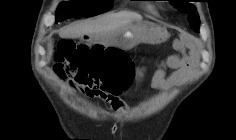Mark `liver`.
<instances>
[{"label":"liver","instance_id":"obj_1","mask_svg":"<svg viewBox=\"0 0 236 140\" xmlns=\"http://www.w3.org/2000/svg\"><path fill=\"white\" fill-rule=\"evenodd\" d=\"M139 14L131 12L110 13L98 17L95 20H86L73 23L59 30L61 38H79L84 35L93 37L95 40L106 39L121 29L127 28L133 21H140ZM53 52V44L48 43V55Z\"/></svg>","mask_w":236,"mask_h":140}]
</instances>
